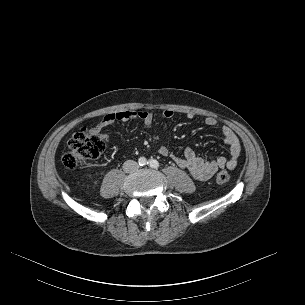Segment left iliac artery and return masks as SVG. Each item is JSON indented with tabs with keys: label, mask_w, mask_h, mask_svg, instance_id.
<instances>
[{
	"label": "left iliac artery",
	"mask_w": 305,
	"mask_h": 305,
	"mask_svg": "<svg viewBox=\"0 0 305 305\" xmlns=\"http://www.w3.org/2000/svg\"><path fill=\"white\" fill-rule=\"evenodd\" d=\"M148 165L151 167V168H158L159 167V162L155 159H150L148 161Z\"/></svg>",
	"instance_id": "left-iliac-artery-1"
}]
</instances>
